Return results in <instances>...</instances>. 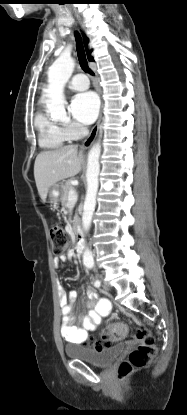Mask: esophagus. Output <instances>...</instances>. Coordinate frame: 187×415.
I'll return each mask as SVG.
<instances>
[{
  "label": "esophagus",
  "mask_w": 187,
  "mask_h": 415,
  "mask_svg": "<svg viewBox=\"0 0 187 415\" xmlns=\"http://www.w3.org/2000/svg\"><path fill=\"white\" fill-rule=\"evenodd\" d=\"M101 120H102V108L100 110L99 117H98V120H97L96 124L92 128V130H91L90 134L88 135V137L83 142V147L84 148L89 147L93 143V141L95 140V138L97 136V133H98V129H99Z\"/></svg>",
  "instance_id": "obj_1"
}]
</instances>
